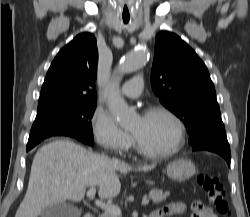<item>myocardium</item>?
I'll use <instances>...</instances> for the list:
<instances>
[{
    "label": "myocardium",
    "mask_w": 250,
    "mask_h": 217,
    "mask_svg": "<svg viewBox=\"0 0 250 217\" xmlns=\"http://www.w3.org/2000/svg\"><path fill=\"white\" fill-rule=\"evenodd\" d=\"M157 113L167 116L174 123L176 127L177 138H176L175 144L171 148L165 151H160V152L152 151V150L145 148L133 134H132V137H133L136 150L140 154L150 157V158L160 159V158L170 157L176 154L183 147L185 143V138H186V128H185L183 121L172 110H170L169 108L163 105H154V106L149 107L144 112L143 116H149V115L157 114Z\"/></svg>",
    "instance_id": "myocardium-1"
}]
</instances>
